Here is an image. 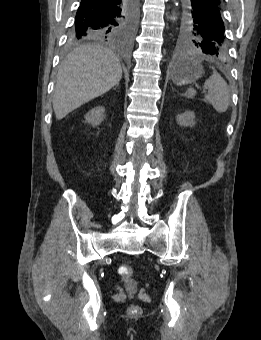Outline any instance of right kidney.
Instances as JSON below:
<instances>
[{
  "instance_id": "ca27d5eb",
  "label": "right kidney",
  "mask_w": 261,
  "mask_h": 340,
  "mask_svg": "<svg viewBox=\"0 0 261 340\" xmlns=\"http://www.w3.org/2000/svg\"><path fill=\"white\" fill-rule=\"evenodd\" d=\"M105 108L102 106H97L91 109L85 115L86 122L90 123L92 126H98L104 119Z\"/></svg>"
}]
</instances>
